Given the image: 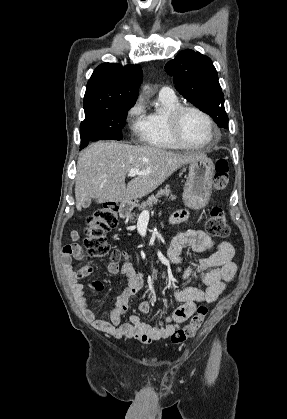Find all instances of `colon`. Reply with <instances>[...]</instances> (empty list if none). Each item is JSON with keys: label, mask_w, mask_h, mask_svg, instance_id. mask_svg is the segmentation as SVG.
Instances as JSON below:
<instances>
[{"label": "colon", "mask_w": 287, "mask_h": 419, "mask_svg": "<svg viewBox=\"0 0 287 419\" xmlns=\"http://www.w3.org/2000/svg\"><path fill=\"white\" fill-rule=\"evenodd\" d=\"M229 184V165L225 159H219L215 165L214 187L217 190H224ZM118 207L114 202H108L97 209L87 219L85 232V245L93 257H102L110 252V246L106 240V234L117 226ZM206 231L209 235L219 238L227 237L230 228L226 223L224 213L221 209L215 208L211 211L206 223ZM208 314V305L201 304L190 322L181 329L176 330L170 340L174 344L183 343L192 338L202 326Z\"/></svg>", "instance_id": "1"}]
</instances>
